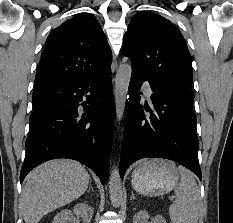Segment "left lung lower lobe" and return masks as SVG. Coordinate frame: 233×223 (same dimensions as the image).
<instances>
[{
    "instance_id": "0a47b994",
    "label": "left lung lower lobe",
    "mask_w": 233,
    "mask_h": 223,
    "mask_svg": "<svg viewBox=\"0 0 233 223\" xmlns=\"http://www.w3.org/2000/svg\"><path fill=\"white\" fill-rule=\"evenodd\" d=\"M145 80L144 74L132 67L120 158L121 178L133 162L151 157L173 160L201 180L193 98L151 87L153 110L150 107L144 109L139 103L138 91Z\"/></svg>"
}]
</instances>
